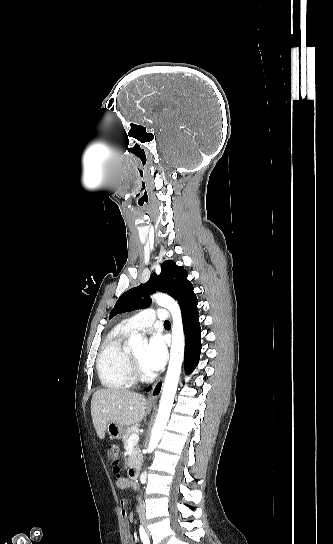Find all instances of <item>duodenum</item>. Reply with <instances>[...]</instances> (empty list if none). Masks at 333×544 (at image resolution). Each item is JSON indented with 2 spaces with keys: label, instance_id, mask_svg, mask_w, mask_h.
I'll return each instance as SVG.
<instances>
[{
  "label": "duodenum",
  "instance_id": "1",
  "mask_svg": "<svg viewBox=\"0 0 333 544\" xmlns=\"http://www.w3.org/2000/svg\"><path fill=\"white\" fill-rule=\"evenodd\" d=\"M128 476L130 479L132 480H135L138 478V475H139V469L136 465H131L129 468H128Z\"/></svg>",
  "mask_w": 333,
  "mask_h": 544
}]
</instances>
